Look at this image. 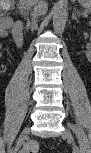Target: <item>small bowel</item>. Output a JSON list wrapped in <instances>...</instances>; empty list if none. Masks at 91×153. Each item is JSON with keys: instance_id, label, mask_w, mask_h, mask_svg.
Listing matches in <instances>:
<instances>
[{"instance_id": "1", "label": "small bowel", "mask_w": 91, "mask_h": 153, "mask_svg": "<svg viewBox=\"0 0 91 153\" xmlns=\"http://www.w3.org/2000/svg\"><path fill=\"white\" fill-rule=\"evenodd\" d=\"M1 34L2 35H5L6 34V30L2 27V30H1Z\"/></svg>"}]
</instances>
